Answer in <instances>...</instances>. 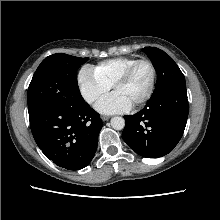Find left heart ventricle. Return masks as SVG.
<instances>
[{
    "label": "left heart ventricle",
    "mask_w": 220,
    "mask_h": 220,
    "mask_svg": "<svg viewBox=\"0 0 220 220\" xmlns=\"http://www.w3.org/2000/svg\"><path fill=\"white\" fill-rule=\"evenodd\" d=\"M151 82V69L147 64H141L137 67L130 80L117 87L114 92L127 99L131 105H134L142 99L147 93Z\"/></svg>",
    "instance_id": "obj_1"
}]
</instances>
